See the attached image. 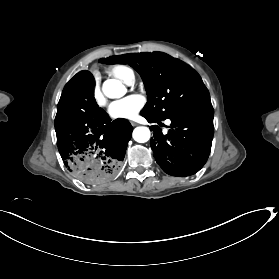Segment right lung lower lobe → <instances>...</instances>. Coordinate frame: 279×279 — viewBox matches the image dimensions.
Returning <instances> with one entry per match:
<instances>
[{
    "label": "right lung lower lobe",
    "instance_id": "right-lung-lower-lobe-1",
    "mask_svg": "<svg viewBox=\"0 0 279 279\" xmlns=\"http://www.w3.org/2000/svg\"><path fill=\"white\" fill-rule=\"evenodd\" d=\"M93 96L91 72L76 74L63 89L55 130L66 168L81 182L100 185L119 174L132 126L126 119L111 121Z\"/></svg>",
    "mask_w": 279,
    "mask_h": 279
}]
</instances>
